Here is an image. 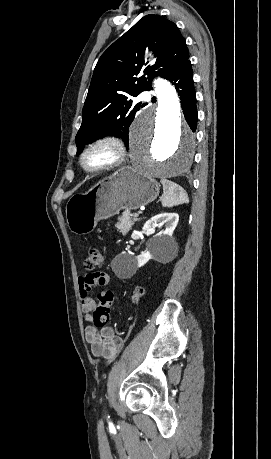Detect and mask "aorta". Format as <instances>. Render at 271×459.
Returning <instances> with one entry per match:
<instances>
[{
	"mask_svg": "<svg viewBox=\"0 0 271 459\" xmlns=\"http://www.w3.org/2000/svg\"><path fill=\"white\" fill-rule=\"evenodd\" d=\"M157 106L142 112L133 125L130 160L147 178L166 179L187 170L195 153V136L182 119L179 97L167 80L154 81Z\"/></svg>",
	"mask_w": 271,
	"mask_h": 459,
	"instance_id": "762f6f07",
	"label": "aorta"
}]
</instances>
